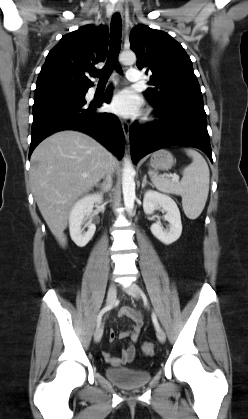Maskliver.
<instances>
[{
  "label": "liver",
  "instance_id": "liver-1",
  "mask_svg": "<svg viewBox=\"0 0 248 419\" xmlns=\"http://www.w3.org/2000/svg\"><path fill=\"white\" fill-rule=\"evenodd\" d=\"M116 158L92 137L78 131L57 132L31 156L30 181L38 208L61 246L67 238L69 212L75 201L98 183Z\"/></svg>",
  "mask_w": 248,
  "mask_h": 419
}]
</instances>
